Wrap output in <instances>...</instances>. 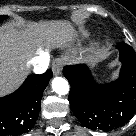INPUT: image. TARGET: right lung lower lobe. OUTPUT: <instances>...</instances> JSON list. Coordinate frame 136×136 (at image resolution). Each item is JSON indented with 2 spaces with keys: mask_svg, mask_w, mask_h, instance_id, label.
I'll use <instances>...</instances> for the list:
<instances>
[{
  "mask_svg": "<svg viewBox=\"0 0 136 136\" xmlns=\"http://www.w3.org/2000/svg\"><path fill=\"white\" fill-rule=\"evenodd\" d=\"M51 77V70L28 76L17 91L0 98V136H18L34 126L43 91Z\"/></svg>",
  "mask_w": 136,
  "mask_h": 136,
  "instance_id": "1",
  "label": "right lung lower lobe"
}]
</instances>
